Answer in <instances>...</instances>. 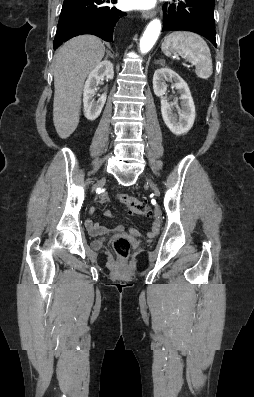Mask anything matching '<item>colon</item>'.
<instances>
[{"instance_id": "1", "label": "colon", "mask_w": 254, "mask_h": 397, "mask_svg": "<svg viewBox=\"0 0 254 397\" xmlns=\"http://www.w3.org/2000/svg\"><path fill=\"white\" fill-rule=\"evenodd\" d=\"M118 199L133 214L148 216L151 213L150 207L145 201L139 200L132 195L121 193L118 195ZM113 248L119 257L125 258L130 253V242L123 236L115 237Z\"/></svg>"}]
</instances>
